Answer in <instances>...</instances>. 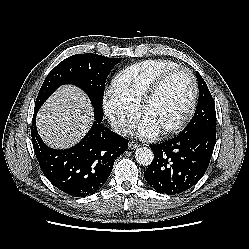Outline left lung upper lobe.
Returning a JSON list of instances; mask_svg holds the SVG:
<instances>
[{"instance_id": "left-lung-upper-lobe-1", "label": "left lung upper lobe", "mask_w": 249, "mask_h": 249, "mask_svg": "<svg viewBox=\"0 0 249 249\" xmlns=\"http://www.w3.org/2000/svg\"><path fill=\"white\" fill-rule=\"evenodd\" d=\"M196 77L199 87L198 104L194 116L181 133L195 130L216 132V111L213 98L205 81L198 72H196Z\"/></svg>"}]
</instances>
